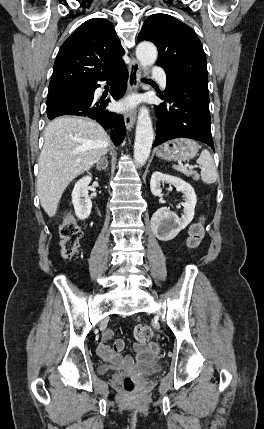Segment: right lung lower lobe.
<instances>
[{
	"label": "right lung lower lobe",
	"mask_w": 264,
	"mask_h": 429,
	"mask_svg": "<svg viewBox=\"0 0 264 429\" xmlns=\"http://www.w3.org/2000/svg\"><path fill=\"white\" fill-rule=\"evenodd\" d=\"M128 70L124 61L119 62L108 72L88 84L87 89L68 95L47 107L50 120L61 115L85 116L95 119L104 129L111 130V139L118 145L126 134L123 116L106 109L109 100L94 98L98 81H113L110 92L115 100L120 99L126 91Z\"/></svg>",
	"instance_id": "right-lung-lower-lobe-1"
}]
</instances>
